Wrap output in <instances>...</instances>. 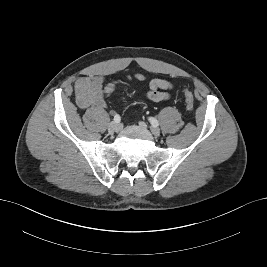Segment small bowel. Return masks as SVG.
<instances>
[{
    "instance_id": "1",
    "label": "small bowel",
    "mask_w": 267,
    "mask_h": 267,
    "mask_svg": "<svg viewBox=\"0 0 267 267\" xmlns=\"http://www.w3.org/2000/svg\"><path fill=\"white\" fill-rule=\"evenodd\" d=\"M133 77L139 81L146 80V77L139 73ZM129 78L131 79V77ZM105 81L106 79L102 75H88L77 79L74 89L78 107L81 109L106 107L103 93ZM172 89L173 85L170 82L159 78L152 79L149 82L147 97L154 102L165 101L170 98V91Z\"/></svg>"
}]
</instances>
